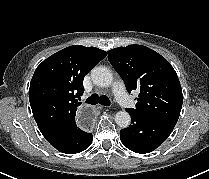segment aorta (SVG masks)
Segmentation results:
<instances>
[{
    "instance_id": "762f6f07",
    "label": "aorta",
    "mask_w": 209,
    "mask_h": 179,
    "mask_svg": "<svg viewBox=\"0 0 209 179\" xmlns=\"http://www.w3.org/2000/svg\"><path fill=\"white\" fill-rule=\"evenodd\" d=\"M91 78L95 85L100 87H109L113 82L111 71L103 66L95 67L91 71ZM115 122L118 126L126 128L130 125L131 117L126 111H119L115 115Z\"/></svg>"
}]
</instances>
